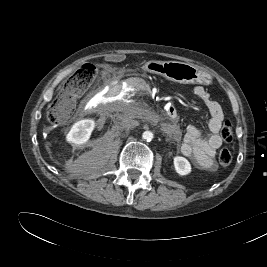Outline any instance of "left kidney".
<instances>
[{
    "label": "left kidney",
    "mask_w": 267,
    "mask_h": 267,
    "mask_svg": "<svg viewBox=\"0 0 267 267\" xmlns=\"http://www.w3.org/2000/svg\"><path fill=\"white\" fill-rule=\"evenodd\" d=\"M174 168L175 171L179 174V175H187L191 172V164L190 162L182 156H176L174 157Z\"/></svg>",
    "instance_id": "5707ae66"
}]
</instances>
